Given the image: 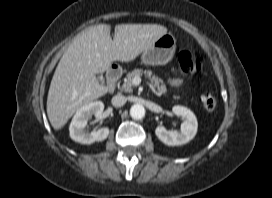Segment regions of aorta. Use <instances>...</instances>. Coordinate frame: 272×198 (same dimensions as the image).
<instances>
[{
    "instance_id": "762f6f07",
    "label": "aorta",
    "mask_w": 272,
    "mask_h": 198,
    "mask_svg": "<svg viewBox=\"0 0 272 198\" xmlns=\"http://www.w3.org/2000/svg\"><path fill=\"white\" fill-rule=\"evenodd\" d=\"M130 115L135 120H140L145 116V108L140 104H134L130 108Z\"/></svg>"
}]
</instances>
